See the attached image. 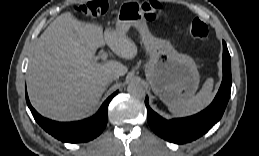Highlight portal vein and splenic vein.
<instances>
[{
    "label": "portal vein and splenic vein",
    "instance_id": "obj_1",
    "mask_svg": "<svg viewBox=\"0 0 259 156\" xmlns=\"http://www.w3.org/2000/svg\"><path fill=\"white\" fill-rule=\"evenodd\" d=\"M108 57V54L104 51L101 52V55L99 57H95V61L97 62L99 59L106 61Z\"/></svg>",
    "mask_w": 259,
    "mask_h": 156
}]
</instances>
